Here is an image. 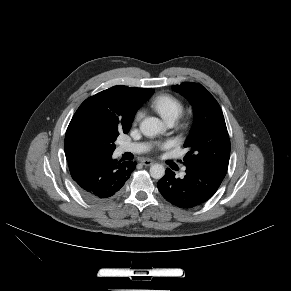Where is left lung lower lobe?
I'll use <instances>...</instances> for the list:
<instances>
[{"label": "left lung lower lobe", "instance_id": "1", "mask_svg": "<svg viewBox=\"0 0 291 291\" xmlns=\"http://www.w3.org/2000/svg\"><path fill=\"white\" fill-rule=\"evenodd\" d=\"M224 177L225 174L211 169L188 165L183 179L176 178L175 173L167 169L157 186L162 196L171 204L179 208H192L210 199Z\"/></svg>", "mask_w": 291, "mask_h": 291}]
</instances>
